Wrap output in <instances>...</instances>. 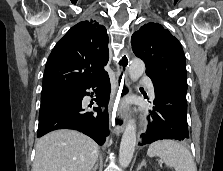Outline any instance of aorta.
<instances>
[{"mask_svg": "<svg viewBox=\"0 0 223 171\" xmlns=\"http://www.w3.org/2000/svg\"><path fill=\"white\" fill-rule=\"evenodd\" d=\"M130 79L137 81L145 71L144 62L141 59L134 58L129 64ZM136 146V123L134 119H130L125 127L122 135L120 150H119V164L122 168L129 166L135 151Z\"/></svg>", "mask_w": 223, "mask_h": 171, "instance_id": "aorta-1", "label": "aorta"}]
</instances>
